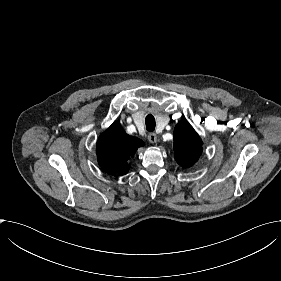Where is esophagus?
<instances>
[{
  "instance_id": "1",
  "label": "esophagus",
  "mask_w": 281,
  "mask_h": 281,
  "mask_svg": "<svg viewBox=\"0 0 281 281\" xmlns=\"http://www.w3.org/2000/svg\"><path fill=\"white\" fill-rule=\"evenodd\" d=\"M148 140L153 144L156 143L157 142V135L155 133H149L148 134Z\"/></svg>"
}]
</instances>
